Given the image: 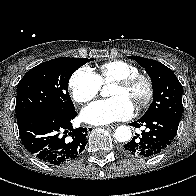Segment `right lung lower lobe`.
<instances>
[{
  "instance_id": "1",
  "label": "right lung lower lobe",
  "mask_w": 196,
  "mask_h": 196,
  "mask_svg": "<svg viewBox=\"0 0 196 196\" xmlns=\"http://www.w3.org/2000/svg\"><path fill=\"white\" fill-rule=\"evenodd\" d=\"M74 110L62 113L37 110L17 120L24 147L38 159L52 165L67 163L86 146L87 128L73 129Z\"/></svg>"
}]
</instances>
